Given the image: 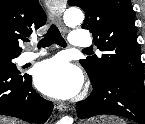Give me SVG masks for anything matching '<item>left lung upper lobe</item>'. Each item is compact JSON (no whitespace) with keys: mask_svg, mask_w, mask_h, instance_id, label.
Returning a JSON list of instances; mask_svg holds the SVG:
<instances>
[{"mask_svg":"<svg viewBox=\"0 0 145 124\" xmlns=\"http://www.w3.org/2000/svg\"><path fill=\"white\" fill-rule=\"evenodd\" d=\"M68 4L85 11L82 28L93 34L94 44L103 52L101 58L80 60L91 83L98 84L113 73L144 78L130 0H68Z\"/></svg>","mask_w":145,"mask_h":124,"instance_id":"left-lung-upper-lobe-1","label":"left lung upper lobe"}]
</instances>
